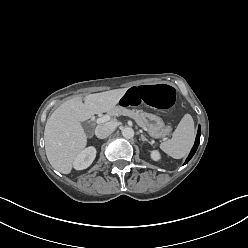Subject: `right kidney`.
<instances>
[{
    "label": "right kidney",
    "instance_id": "obj_1",
    "mask_svg": "<svg viewBox=\"0 0 248 248\" xmlns=\"http://www.w3.org/2000/svg\"><path fill=\"white\" fill-rule=\"evenodd\" d=\"M96 157V149L94 147H88L77 155L74 160V168L76 170H83L88 168Z\"/></svg>",
    "mask_w": 248,
    "mask_h": 248
}]
</instances>
